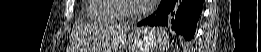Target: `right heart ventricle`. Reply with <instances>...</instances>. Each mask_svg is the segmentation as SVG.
Returning a JSON list of instances; mask_svg holds the SVG:
<instances>
[{
	"label": "right heart ventricle",
	"mask_w": 261,
	"mask_h": 52,
	"mask_svg": "<svg viewBox=\"0 0 261 52\" xmlns=\"http://www.w3.org/2000/svg\"><path fill=\"white\" fill-rule=\"evenodd\" d=\"M115 0H90L86 8L89 21L99 24H117L122 20L115 14Z\"/></svg>",
	"instance_id": "1"
}]
</instances>
